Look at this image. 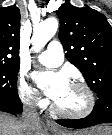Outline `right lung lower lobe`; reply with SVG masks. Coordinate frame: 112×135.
<instances>
[{
	"label": "right lung lower lobe",
	"instance_id": "1",
	"mask_svg": "<svg viewBox=\"0 0 112 135\" xmlns=\"http://www.w3.org/2000/svg\"><path fill=\"white\" fill-rule=\"evenodd\" d=\"M22 103L20 101L0 100V111L19 114L22 112Z\"/></svg>",
	"mask_w": 112,
	"mask_h": 135
}]
</instances>
